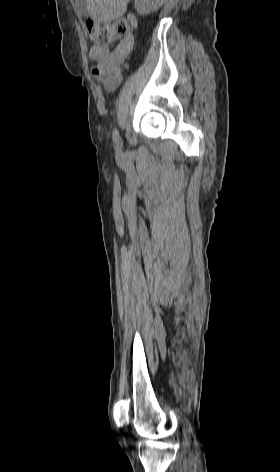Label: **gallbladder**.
<instances>
[{"mask_svg":"<svg viewBox=\"0 0 280 472\" xmlns=\"http://www.w3.org/2000/svg\"><path fill=\"white\" fill-rule=\"evenodd\" d=\"M77 5H78V10H79L80 14L83 17H87L89 14H88V11H87V5H86L85 1L84 0H77Z\"/></svg>","mask_w":280,"mask_h":472,"instance_id":"bac80fb5","label":"gallbladder"}]
</instances>
